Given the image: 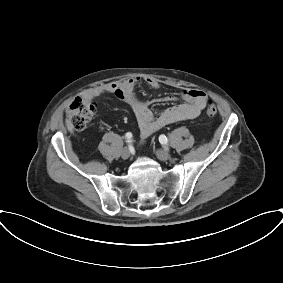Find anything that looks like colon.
I'll use <instances>...</instances> for the list:
<instances>
[{
	"mask_svg": "<svg viewBox=\"0 0 283 283\" xmlns=\"http://www.w3.org/2000/svg\"><path fill=\"white\" fill-rule=\"evenodd\" d=\"M96 112V105L92 99L79 97L73 101L67 111V118L70 125L76 130H83L87 127ZM217 108L213 102L206 107V114L215 116Z\"/></svg>",
	"mask_w": 283,
	"mask_h": 283,
	"instance_id": "5ec220e1",
	"label": "colon"
}]
</instances>
